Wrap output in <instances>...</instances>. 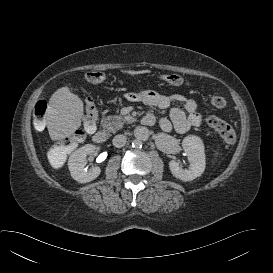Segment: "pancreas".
Instances as JSON below:
<instances>
[{"label":"pancreas","mask_w":273,"mask_h":273,"mask_svg":"<svg viewBox=\"0 0 273 273\" xmlns=\"http://www.w3.org/2000/svg\"><path fill=\"white\" fill-rule=\"evenodd\" d=\"M133 121L134 119L131 117L123 118L119 115H112L102 121V126L107 132L114 133L123 128L124 123H132Z\"/></svg>","instance_id":"cf45deb5"}]
</instances>
